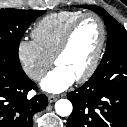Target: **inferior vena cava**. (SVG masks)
Wrapping results in <instances>:
<instances>
[{
	"label": "inferior vena cava",
	"mask_w": 127,
	"mask_h": 127,
	"mask_svg": "<svg viewBox=\"0 0 127 127\" xmlns=\"http://www.w3.org/2000/svg\"><path fill=\"white\" fill-rule=\"evenodd\" d=\"M46 72L43 70H32L29 72V77L34 79V80H39L41 79L43 76H45Z\"/></svg>",
	"instance_id": "inferior-vena-cava-1"
}]
</instances>
